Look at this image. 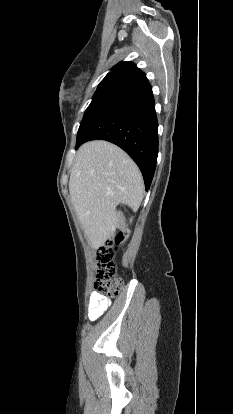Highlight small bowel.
<instances>
[{
  "instance_id": "c3829d8e",
  "label": "small bowel",
  "mask_w": 233,
  "mask_h": 414,
  "mask_svg": "<svg viewBox=\"0 0 233 414\" xmlns=\"http://www.w3.org/2000/svg\"><path fill=\"white\" fill-rule=\"evenodd\" d=\"M111 301L105 295L97 292H93L90 295L88 304V318L91 321L97 320L101 317L109 308Z\"/></svg>"
}]
</instances>
